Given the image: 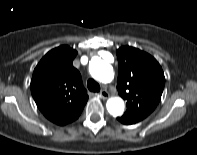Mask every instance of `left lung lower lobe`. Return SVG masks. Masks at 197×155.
Returning a JSON list of instances; mask_svg holds the SVG:
<instances>
[{
    "mask_svg": "<svg viewBox=\"0 0 197 155\" xmlns=\"http://www.w3.org/2000/svg\"><path fill=\"white\" fill-rule=\"evenodd\" d=\"M121 123H123V124H127V125H129V124H134L135 122H133L132 120H129V119H127V118H125V117H118L117 118Z\"/></svg>",
    "mask_w": 197,
    "mask_h": 155,
    "instance_id": "0a47b994",
    "label": "left lung lower lobe"
}]
</instances>
